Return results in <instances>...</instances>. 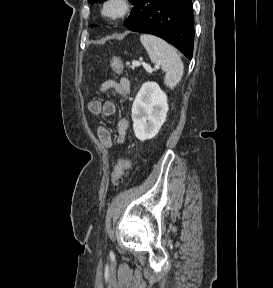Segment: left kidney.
Returning a JSON list of instances; mask_svg holds the SVG:
<instances>
[{
    "label": "left kidney",
    "mask_w": 273,
    "mask_h": 288,
    "mask_svg": "<svg viewBox=\"0 0 273 288\" xmlns=\"http://www.w3.org/2000/svg\"><path fill=\"white\" fill-rule=\"evenodd\" d=\"M167 96L155 82H145L132 105V120L135 136L140 141L157 135L166 120Z\"/></svg>",
    "instance_id": "left-kidney-1"
}]
</instances>
